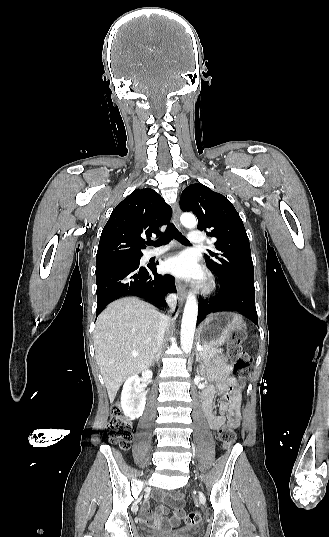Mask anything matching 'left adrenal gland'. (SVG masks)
<instances>
[{"label": "left adrenal gland", "mask_w": 329, "mask_h": 537, "mask_svg": "<svg viewBox=\"0 0 329 537\" xmlns=\"http://www.w3.org/2000/svg\"><path fill=\"white\" fill-rule=\"evenodd\" d=\"M196 362H199L200 365L202 364V359L200 358L199 353L197 351H196ZM196 372L197 373L200 372V366L197 367Z\"/></svg>", "instance_id": "1"}]
</instances>
